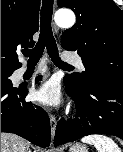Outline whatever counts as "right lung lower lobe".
Segmentation results:
<instances>
[{
	"mask_svg": "<svg viewBox=\"0 0 123 152\" xmlns=\"http://www.w3.org/2000/svg\"><path fill=\"white\" fill-rule=\"evenodd\" d=\"M27 93L25 86H1V132L14 133L37 146L48 147L49 117L43 109L24 100Z\"/></svg>",
	"mask_w": 123,
	"mask_h": 152,
	"instance_id": "98d812e1",
	"label": "right lung lower lobe"
}]
</instances>
